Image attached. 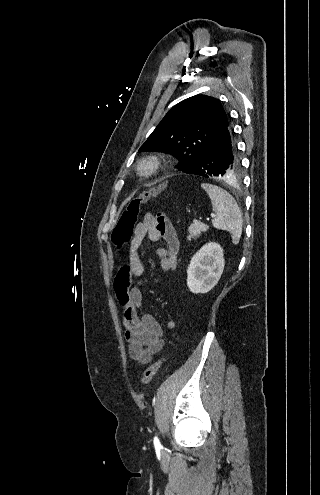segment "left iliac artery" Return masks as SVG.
Wrapping results in <instances>:
<instances>
[{"label":"left iliac artery","instance_id":"obj_1","mask_svg":"<svg viewBox=\"0 0 320 495\" xmlns=\"http://www.w3.org/2000/svg\"><path fill=\"white\" fill-rule=\"evenodd\" d=\"M153 442H154V446L156 448H161V443H160V441H159V439L157 437H154V441Z\"/></svg>","mask_w":320,"mask_h":495}]
</instances>
